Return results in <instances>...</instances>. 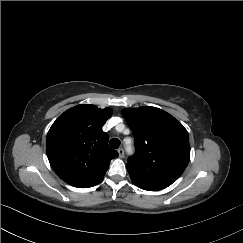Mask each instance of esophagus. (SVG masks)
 <instances>
[{"mask_svg":"<svg viewBox=\"0 0 243 243\" xmlns=\"http://www.w3.org/2000/svg\"><path fill=\"white\" fill-rule=\"evenodd\" d=\"M118 154H119V157H120V158H123L124 155H125L124 149H123V148H119V149H118Z\"/></svg>","mask_w":243,"mask_h":243,"instance_id":"obj_1","label":"esophagus"}]
</instances>
